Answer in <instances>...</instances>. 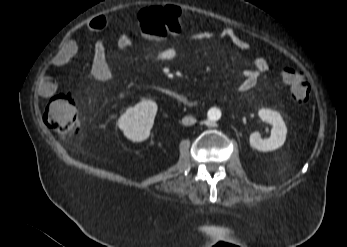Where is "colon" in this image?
I'll return each mask as SVG.
<instances>
[{
	"mask_svg": "<svg viewBox=\"0 0 347 247\" xmlns=\"http://www.w3.org/2000/svg\"><path fill=\"white\" fill-rule=\"evenodd\" d=\"M135 20L144 34L162 38L180 30L182 14L176 6H151L139 11ZM280 76L296 102L308 101L311 89L302 71L284 67ZM43 119L47 126L64 135H71L79 130L77 104L67 94H54L49 98Z\"/></svg>",
	"mask_w": 347,
	"mask_h": 247,
	"instance_id": "colon-1",
	"label": "colon"
}]
</instances>
